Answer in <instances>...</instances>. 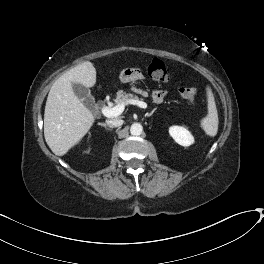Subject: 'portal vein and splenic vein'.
<instances>
[{
	"mask_svg": "<svg viewBox=\"0 0 264 264\" xmlns=\"http://www.w3.org/2000/svg\"><path fill=\"white\" fill-rule=\"evenodd\" d=\"M128 104H132V105H137L139 106L140 108H147V104L143 101H139V100H129L128 101ZM125 105L124 103H120L114 107H108V106H104L102 108V114L105 116V117H117L119 116L120 114H122V112L124 111L125 109Z\"/></svg>",
	"mask_w": 264,
	"mask_h": 264,
	"instance_id": "portal-vein-and-splenic-vein-1",
	"label": "portal vein and splenic vein"
}]
</instances>
